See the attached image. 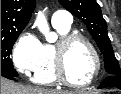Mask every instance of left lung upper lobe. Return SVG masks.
I'll use <instances>...</instances> for the list:
<instances>
[{"label": "left lung upper lobe", "instance_id": "1", "mask_svg": "<svg viewBox=\"0 0 121 94\" xmlns=\"http://www.w3.org/2000/svg\"><path fill=\"white\" fill-rule=\"evenodd\" d=\"M59 2L85 23L103 54L106 71L111 75L121 76V69L108 37L106 21L96 0H59Z\"/></svg>", "mask_w": 121, "mask_h": 94}]
</instances>
